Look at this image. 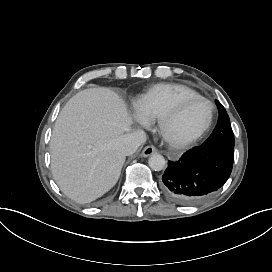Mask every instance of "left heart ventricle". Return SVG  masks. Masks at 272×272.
Wrapping results in <instances>:
<instances>
[{"mask_svg": "<svg viewBox=\"0 0 272 272\" xmlns=\"http://www.w3.org/2000/svg\"><path fill=\"white\" fill-rule=\"evenodd\" d=\"M208 105L200 100L190 102L184 111L172 123L175 130L189 133L201 128L208 119Z\"/></svg>", "mask_w": 272, "mask_h": 272, "instance_id": "left-heart-ventricle-1", "label": "left heart ventricle"}]
</instances>
